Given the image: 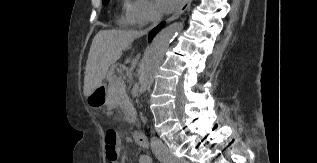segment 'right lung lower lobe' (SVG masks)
Here are the masks:
<instances>
[{"mask_svg": "<svg viewBox=\"0 0 317 163\" xmlns=\"http://www.w3.org/2000/svg\"><path fill=\"white\" fill-rule=\"evenodd\" d=\"M164 23H161L160 25H158L156 28H154L150 34H149V41L152 40V38L154 37V35L163 27Z\"/></svg>", "mask_w": 317, "mask_h": 163, "instance_id": "obj_1", "label": "right lung lower lobe"}]
</instances>
